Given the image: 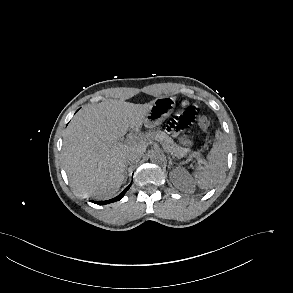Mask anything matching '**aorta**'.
<instances>
[{
  "instance_id": "obj_1",
  "label": "aorta",
  "mask_w": 293,
  "mask_h": 293,
  "mask_svg": "<svg viewBox=\"0 0 293 293\" xmlns=\"http://www.w3.org/2000/svg\"><path fill=\"white\" fill-rule=\"evenodd\" d=\"M150 160L153 163H162L164 161V155L158 152H153L150 155Z\"/></svg>"
}]
</instances>
